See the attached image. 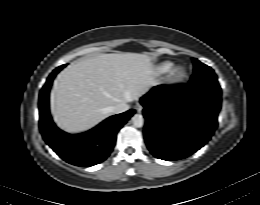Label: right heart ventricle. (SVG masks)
<instances>
[{
	"label": "right heart ventricle",
	"mask_w": 260,
	"mask_h": 205,
	"mask_svg": "<svg viewBox=\"0 0 260 205\" xmlns=\"http://www.w3.org/2000/svg\"><path fill=\"white\" fill-rule=\"evenodd\" d=\"M174 67L172 62H163L157 66L156 72L158 75H166L168 74Z\"/></svg>",
	"instance_id": "1"
}]
</instances>
